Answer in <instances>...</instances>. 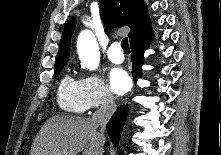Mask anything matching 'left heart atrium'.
Here are the masks:
<instances>
[{
  "mask_svg": "<svg viewBox=\"0 0 221 155\" xmlns=\"http://www.w3.org/2000/svg\"><path fill=\"white\" fill-rule=\"evenodd\" d=\"M110 85L117 94H124L131 86V80L128 74L120 68H115L110 72Z\"/></svg>",
  "mask_w": 221,
  "mask_h": 155,
  "instance_id": "39dd6f15",
  "label": "left heart atrium"
}]
</instances>
